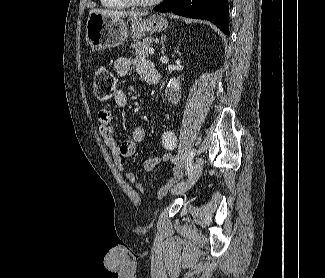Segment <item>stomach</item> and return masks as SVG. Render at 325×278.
<instances>
[{
  "mask_svg": "<svg viewBox=\"0 0 325 278\" xmlns=\"http://www.w3.org/2000/svg\"><path fill=\"white\" fill-rule=\"evenodd\" d=\"M167 26L168 21L165 18L151 15L146 19H131L130 30L132 37L139 39L146 32H160ZM128 34V25L123 19L95 12L89 14L86 24V41L92 49L101 51L122 45Z\"/></svg>",
  "mask_w": 325,
  "mask_h": 278,
  "instance_id": "stomach-1",
  "label": "stomach"
}]
</instances>
